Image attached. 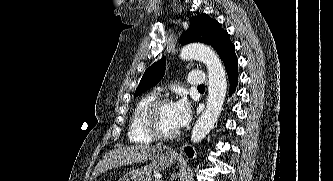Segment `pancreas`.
Listing matches in <instances>:
<instances>
[{
	"label": "pancreas",
	"instance_id": "pancreas-1",
	"mask_svg": "<svg viewBox=\"0 0 333 181\" xmlns=\"http://www.w3.org/2000/svg\"><path fill=\"white\" fill-rule=\"evenodd\" d=\"M153 181H160L159 179H155V180H153Z\"/></svg>",
	"mask_w": 333,
	"mask_h": 181
}]
</instances>
